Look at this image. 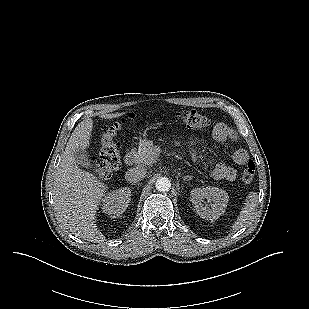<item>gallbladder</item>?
<instances>
[{
  "instance_id": "gallbladder-1",
  "label": "gallbladder",
  "mask_w": 309,
  "mask_h": 309,
  "mask_svg": "<svg viewBox=\"0 0 309 309\" xmlns=\"http://www.w3.org/2000/svg\"><path fill=\"white\" fill-rule=\"evenodd\" d=\"M73 156L75 159V162L86 169L91 168V162L89 160V157L87 155V152L84 149H75L73 150Z\"/></svg>"
}]
</instances>
